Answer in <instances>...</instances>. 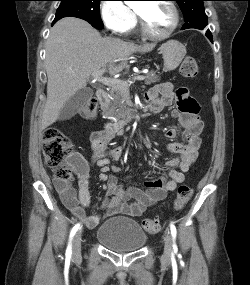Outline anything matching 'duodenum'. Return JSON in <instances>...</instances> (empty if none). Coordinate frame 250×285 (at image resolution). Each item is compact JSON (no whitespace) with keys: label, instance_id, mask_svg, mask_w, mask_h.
I'll return each mask as SVG.
<instances>
[{"label":"duodenum","instance_id":"obj_1","mask_svg":"<svg viewBox=\"0 0 250 285\" xmlns=\"http://www.w3.org/2000/svg\"><path fill=\"white\" fill-rule=\"evenodd\" d=\"M97 97L100 101V103L104 104L107 102V99H108V93L105 89H99L97 91ZM139 118V114L138 113H130L128 115H126L124 118H122L121 120L117 121V122H114V123H110L108 124V129L109 130H112V131H116L118 130L122 125L130 122V121H133V120H136Z\"/></svg>","mask_w":250,"mask_h":285}]
</instances>
